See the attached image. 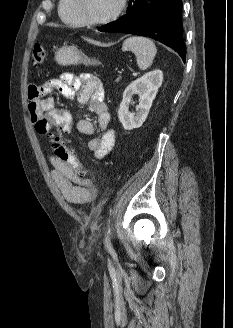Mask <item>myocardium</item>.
Returning a JSON list of instances; mask_svg holds the SVG:
<instances>
[{"instance_id":"myocardium-1","label":"myocardium","mask_w":233,"mask_h":328,"mask_svg":"<svg viewBox=\"0 0 233 328\" xmlns=\"http://www.w3.org/2000/svg\"><path fill=\"white\" fill-rule=\"evenodd\" d=\"M75 1H76L75 2V10H76V14H77L78 18L83 23V25L92 26V27L106 25L108 23L115 21L122 15V13L125 11V9L127 7V0H120L117 9L115 10V12L112 15L108 16L107 18L101 19V20H91L84 15L82 0H75Z\"/></svg>"}]
</instances>
